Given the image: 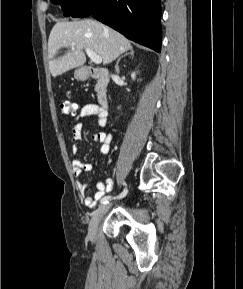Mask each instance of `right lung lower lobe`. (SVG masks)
I'll list each match as a JSON object with an SVG mask.
<instances>
[{
    "mask_svg": "<svg viewBox=\"0 0 243 289\" xmlns=\"http://www.w3.org/2000/svg\"><path fill=\"white\" fill-rule=\"evenodd\" d=\"M160 0H90L71 16H93L130 40L161 51Z\"/></svg>",
    "mask_w": 243,
    "mask_h": 289,
    "instance_id": "right-lung-lower-lobe-1",
    "label": "right lung lower lobe"
}]
</instances>
